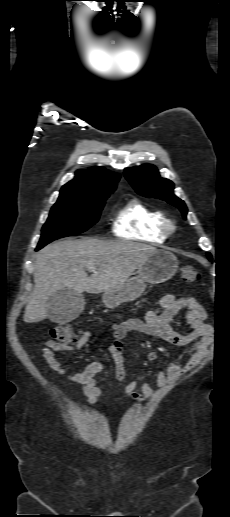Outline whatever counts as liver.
<instances>
[{
  "label": "liver",
  "instance_id": "6515ba94",
  "mask_svg": "<svg viewBox=\"0 0 230 517\" xmlns=\"http://www.w3.org/2000/svg\"><path fill=\"white\" fill-rule=\"evenodd\" d=\"M157 249L127 241L94 238L58 241L45 246L35 258V287L26 305L24 321L48 317L46 303L56 291L102 293L123 285ZM88 266L96 267L89 277Z\"/></svg>",
  "mask_w": 230,
  "mask_h": 517
}]
</instances>
